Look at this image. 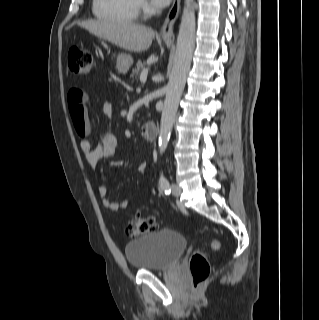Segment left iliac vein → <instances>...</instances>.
<instances>
[{"label": "left iliac vein", "instance_id": "obj_1", "mask_svg": "<svg viewBox=\"0 0 319 320\" xmlns=\"http://www.w3.org/2000/svg\"><path fill=\"white\" fill-rule=\"evenodd\" d=\"M171 191L174 196H179L181 194V188L175 183L171 185Z\"/></svg>", "mask_w": 319, "mask_h": 320}]
</instances>
